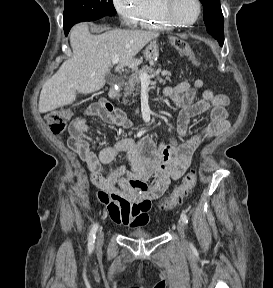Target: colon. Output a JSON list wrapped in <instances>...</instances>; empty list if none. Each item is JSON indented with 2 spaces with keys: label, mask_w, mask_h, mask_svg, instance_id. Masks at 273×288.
<instances>
[{
  "label": "colon",
  "mask_w": 273,
  "mask_h": 288,
  "mask_svg": "<svg viewBox=\"0 0 273 288\" xmlns=\"http://www.w3.org/2000/svg\"><path fill=\"white\" fill-rule=\"evenodd\" d=\"M176 49L184 56L188 57L192 63H196L192 49L188 43L182 40L175 41ZM72 112L68 109H57L49 112L46 115V121L50 130L55 135L62 134L69 121L71 120ZM197 184V174L195 172L188 173L182 183L178 185L171 194L162 201L161 208L165 211L174 209L180 204L184 198L189 196Z\"/></svg>",
  "instance_id": "obj_1"
}]
</instances>
